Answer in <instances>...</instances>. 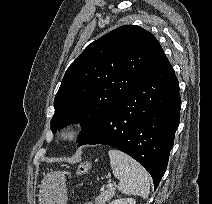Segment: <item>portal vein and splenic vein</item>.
Segmentation results:
<instances>
[{
	"label": "portal vein and splenic vein",
	"mask_w": 212,
	"mask_h": 204,
	"mask_svg": "<svg viewBox=\"0 0 212 204\" xmlns=\"http://www.w3.org/2000/svg\"><path fill=\"white\" fill-rule=\"evenodd\" d=\"M111 186H112V184L110 182H108L107 187H111Z\"/></svg>",
	"instance_id": "obj_1"
}]
</instances>
